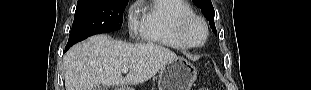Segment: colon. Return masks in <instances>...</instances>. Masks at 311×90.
<instances>
[{"label": "colon", "instance_id": "1", "mask_svg": "<svg viewBox=\"0 0 311 90\" xmlns=\"http://www.w3.org/2000/svg\"><path fill=\"white\" fill-rule=\"evenodd\" d=\"M200 90H208V88L202 87V88H200Z\"/></svg>", "mask_w": 311, "mask_h": 90}]
</instances>
